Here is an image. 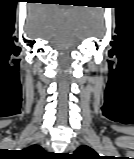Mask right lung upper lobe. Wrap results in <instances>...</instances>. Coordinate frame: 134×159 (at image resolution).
<instances>
[{
	"instance_id": "cb5924a9",
	"label": "right lung upper lobe",
	"mask_w": 134,
	"mask_h": 159,
	"mask_svg": "<svg viewBox=\"0 0 134 159\" xmlns=\"http://www.w3.org/2000/svg\"><path fill=\"white\" fill-rule=\"evenodd\" d=\"M24 151H27V153L31 154V155H36L38 153H41L43 150L40 146L38 145H33L27 149H25ZM34 159V158H33ZM36 159V158H35Z\"/></svg>"
}]
</instances>
